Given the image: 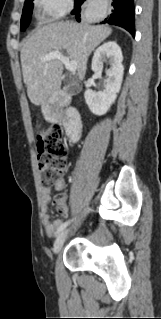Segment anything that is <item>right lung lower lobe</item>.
I'll return each mask as SVG.
<instances>
[{"label": "right lung lower lobe", "instance_id": "1", "mask_svg": "<svg viewBox=\"0 0 161 319\" xmlns=\"http://www.w3.org/2000/svg\"><path fill=\"white\" fill-rule=\"evenodd\" d=\"M84 1L85 0L75 1V9L72 11V14H75L77 21H80V6ZM111 5L113 7L111 14L102 23L121 26L129 31L132 36H135L133 0H112Z\"/></svg>", "mask_w": 161, "mask_h": 319}]
</instances>
